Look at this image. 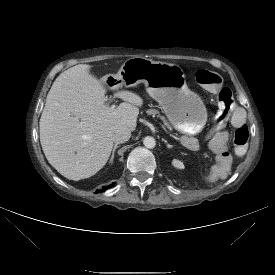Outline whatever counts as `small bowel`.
<instances>
[{
    "label": "small bowel",
    "mask_w": 275,
    "mask_h": 275,
    "mask_svg": "<svg viewBox=\"0 0 275 275\" xmlns=\"http://www.w3.org/2000/svg\"><path fill=\"white\" fill-rule=\"evenodd\" d=\"M232 126L238 129L246 126V113L240 108L236 107L232 115ZM225 132H220L211 137L208 148L211 153L215 154L214 161L212 162L208 175L211 180L220 182L225 179L229 168L233 163V157L230 152L226 151L229 146Z\"/></svg>",
    "instance_id": "small-bowel-1"
}]
</instances>
